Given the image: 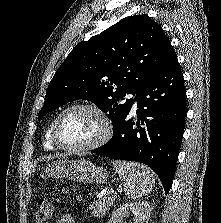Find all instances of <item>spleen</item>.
Listing matches in <instances>:
<instances>
[{"label":"spleen","mask_w":221,"mask_h":223,"mask_svg":"<svg viewBox=\"0 0 221 223\" xmlns=\"http://www.w3.org/2000/svg\"><path fill=\"white\" fill-rule=\"evenodd\" d=\"M112 167L121 178L126 195L138 199L148 195L154 185L151 170L141 164L125 161H113Z\"/></svg>","instance_id":"3e777b00"}]
</instances>
